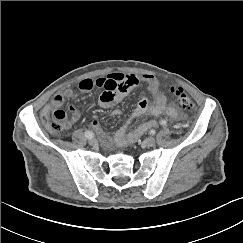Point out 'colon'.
Listing matches in <instances>:
<instances>
[{"label": "colon", "instance_id": "1", "mask_svg": "<svg viewBox=\"0 0 243 243\" xmlns=\"http://www.w3.org/2000/svg\"><path fill=\"white\" fill-rule=\"evenodd\" d=\"M171 94L177 104L184 110H192L194 104L181 87H173ZM43 121L54 133H61L68 128L66 114L63 110H56L52 114L43 115Z\"/></svg>", "mask_w": 243, "mask_h": 243}]
</instances>
